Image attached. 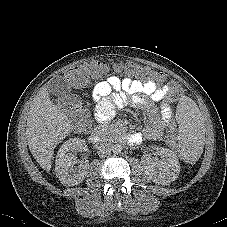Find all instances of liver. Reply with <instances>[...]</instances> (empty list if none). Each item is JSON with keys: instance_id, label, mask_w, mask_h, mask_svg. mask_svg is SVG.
Listing matches in <instances>:
<instances>
[{"instance_id": "liver-1", "label": "liver", "mask_w": 227, "mask_h": 227, "mask_svg": "<svg viewBox=\"0 0 227 227\" xmlns=\"http://www.w3.org/2000/svg\"><path fill=\"white\" fill-rule=\"evenodd\" d=\"M43 86L28 111L26 136L33 157L47 172L52 167L53 150L72 130L71 120L55 105Z\"/></svg>"}]
</instances>
